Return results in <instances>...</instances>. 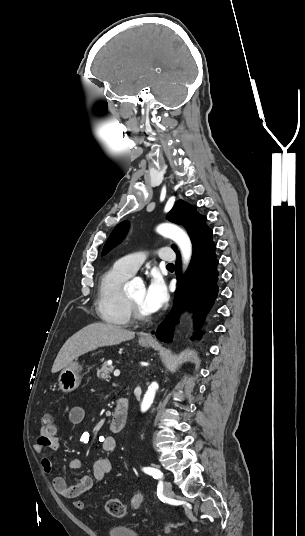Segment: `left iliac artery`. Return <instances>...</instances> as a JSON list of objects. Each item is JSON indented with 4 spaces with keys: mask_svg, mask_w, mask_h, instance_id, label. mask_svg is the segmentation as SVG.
Returning <instances> with one entry per match:
<instances>
[{
    "mask_svg": "<svg viewBox=\"0 0 305 536\" xmlns=\"http://www.w3.org/2000/svg\"><path fill=\"white\" fill-rule=\"evenodd\" d=\"M143 471L149 475H152L153 478L155 479L163 478V473L158 469L146 467V468H143Z\"/></svg>",
    "mask_w": 305,
    "mask_h": 536,
    "instance_id": "left-iliac-artery-1",
    "label": "left iliac artery"
}]
</instances>
